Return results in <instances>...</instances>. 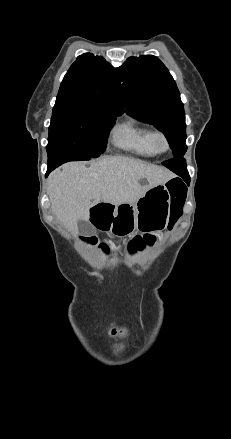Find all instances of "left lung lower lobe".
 Masks as SVG:
<instances>
[{"mask_svg":"<svg viewBox=\"0 0 231 439\" xmlns=\"http://www.w3.org/2000/svg\"><path fill=\"white\" fill-rule=\"evenodd\" d=\"M163 165L180 175L186 182L190 181L184 158H173L164 162Z\"/></svg>","mask_w":231,"mask_h":439,"instance_id":"obj_1","label":"left lung lower lobe"}]
</instances>
